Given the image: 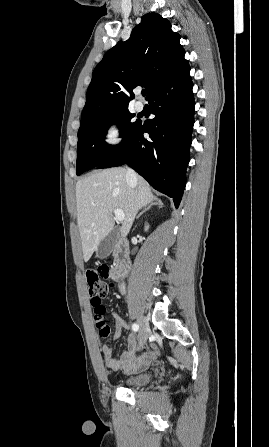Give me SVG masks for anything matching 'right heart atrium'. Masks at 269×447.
I'll return each mask as SVG.
<instances>
[{"label":"right heart atrium","instance_id":"right-heart-atrium-1","mask_svg":"<svg viewBox=\"0 0 269 447\" xmlns=\"http://www.w3.org/2000/svg\"><path fill=\"white\" fill-rule=\"evenodd\" d=\"M122 141V128L117 120L108 122L103 131V142L108 146H116Z\"/></svg>","mask_w":269,"mask_h":447}]
</instances>
